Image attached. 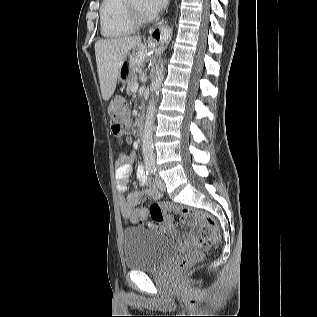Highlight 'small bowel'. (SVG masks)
Listing matches in <instances>:
<instances>
[{
	"label": "small bowel",
	"mask_w": 317,
	"mask_h": 317,
	"mask_svg": "<svg viewBox=\"0 0 317 317\" xmlns=\"http://www.w3.org/2000/svg\"><path fill=\"white\" fill-rule=\"evenodd\" d=\"M131 156L121 155L117 160V168L115 172L117 189L120 194H124L127 191V186L130 180V175L132 172ZM137 177L141 184L147 181V178L141 168L137 170ZM149 196L152 198L160 197V192L158 189L151 185L149 187ZM142 202V199L135 195H128L121 197V216L125 221L138 222L144 221L148 217V211L145 207L135 208V206ZM162 234L171 233L173 231L172 225L167 222L163 226L156 227ZM196 231L193 230L192 234Z\"/></svg>",
	"instance_id": "1"
}]
</instances>
